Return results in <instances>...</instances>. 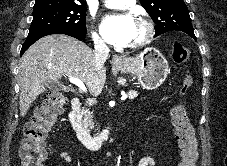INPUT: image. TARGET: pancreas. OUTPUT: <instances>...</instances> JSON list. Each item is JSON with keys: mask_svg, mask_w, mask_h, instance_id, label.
I'll return each instance as SVG.
<instances>
[{"mask_svg": "<svg viewBox=\"0 0 227 166\" xmlns=\"http://www.w3.org/2000/svg\"><path fill=\"white\" fill-rule=\"evenodd\" d=\"M138 96L137 91H129L128 92V98L130 100L134 99ZM81 123L89 127L90 129H93L94 123H93V112H91L89 109H83L80 115Z\"/></svg>", "mask_w": 227, "mask_h": 166, "instance_id": "1", "label": "pancreas"}]
</instances>
